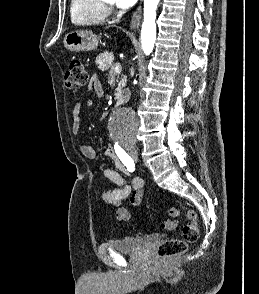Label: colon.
Returning a JSON list of instances; mask_svg holds the SVG:
<instances>
[{
	"instance_id": "colon-1",
	"label": "colon",
	"mask_w": 259,
	"mask_h": 294,
	"mask_svg": "<svg viewBox=\"0 0 259 294\" xmlns=\"http://www.w3.org/2000/svg\"><path fill=\"white\" fill-rule=\"evenodd\" d=\"M65 85L67 88L74 89L86 85L88 82V74L84 63L79 59H73L69 63L68 70L65 74ZM169 215L177 218L180 210L177 207L169 208ZM187 224L183 227L182 237L168 239L161 243L157 248L156 254L159 258L165 259L174 257L186 252L189 243L195 242L199 236V227L197 222V214L193 210L186 213ZM178 223L175 221H164L162 228L165 231H173L178 229Z\"/></svg>"
}]
</instances>
